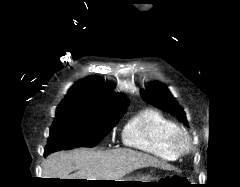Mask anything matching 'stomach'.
<instances>
[{
	"label": "stomach",
	"instance_id": "obj_1",
	"mask_svg": "<svg viewBox=\"0 0 240 187\" xmlns=\"http://www.w3.org/2000/svg\"><path fill=\"white\" fill-rule=\"evenodd\" d=\"M152 179L149 176H142L140 178H126V179H119L114 181H132V182H113V186L117 187H150L153 186L151 183H142V182H155L151 181Z\"/></svg>",
	"mask_w": 240,
	"mask_h": 187
}]
</instances>
